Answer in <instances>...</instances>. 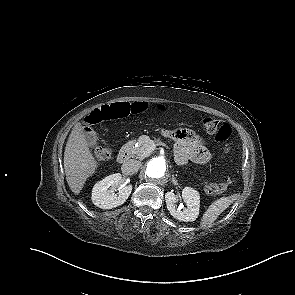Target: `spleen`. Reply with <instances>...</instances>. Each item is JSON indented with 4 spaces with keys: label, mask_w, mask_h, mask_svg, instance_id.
I'll return each mask as SVG.
<instances>
[{
    "label": "spleen",
    "mask_w": 295,
    "mask_h": 295,
    "mask_svg": "<svg viewBox=\"0 0 295 295\" xmlns=\"http://www.w3.org/2000/svg\"><path fill=\"white\" fill-rule=\"evenodd\" d=\"M237 198L238 194H233L228 197H221L214 201L203 214L201 226L203 228L211 226L218 216L237 200Z\"/></svg>",
    "instance_id": "spleen-1"
}]
</instances>
